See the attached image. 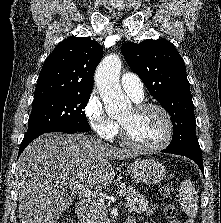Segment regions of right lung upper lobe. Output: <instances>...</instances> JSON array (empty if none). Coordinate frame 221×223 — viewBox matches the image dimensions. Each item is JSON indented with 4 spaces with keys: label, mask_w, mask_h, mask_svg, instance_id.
Returning <instances> with one entry per match:
<instances>
[{
    "label": "right lung upper lobe",
    "mask_w": 221,
    "mask_h": 223,
    "mask_svg": "<svg viewBox=\"0 0 221 223\" xmlns=\"http://www.w3.org/2000/svg\"><path fill=\"white\" fill-rule=\"evenodd\" d=\"M102 56V47L88 37L63 40L43 64L34 99L91 93L93 75Z\"/></svg>",
    "instance_id": "cb5924a9"
}]
</instances>
